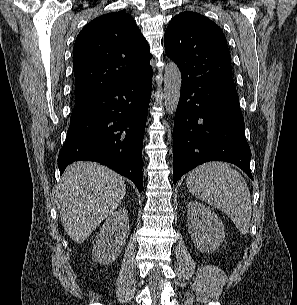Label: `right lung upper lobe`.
<instances>
[{"label":"right lung upper lobe","instance_id":"1","mask_svg":"<svg viewBox=\"0 0 297 305\" xmlns=\"http://www.w3.org/2000/svg\"><path fill=\"white\" fill-rule=\"evenodd\" d=\"M149 50L130 14L120 11L92 20L73 48L75 104L152 69Z\"/></svg>","mask_w":297,"mask_h":305}]
</instances>
